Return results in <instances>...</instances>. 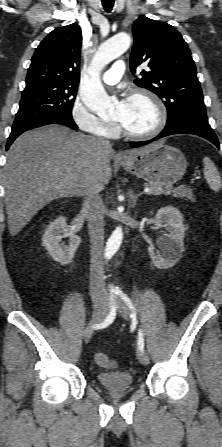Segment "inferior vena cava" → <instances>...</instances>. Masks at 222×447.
Instances as JSON below:
<instances>
[{
    "label": "inferior vena cava",
    "mask_w": 222,
    "mask_h": 447,
    "mask_svg": "<svg viewBox=\"0 0 222 447\" xmlns=\"http://www.w3.org/2000/svg\"><path fill=\"white\" fill-rule=\"evenodd\" d=\"M99 141L111 148L108 140L100 138ZM102 189L103 185L99 183L91 185L85 193V203L89 209L88 229L91 241L90 289L93 296H101L104 299L106 296L103 279L104 206L100 196Z\"/></svg>",
    "instance_id": "obj_1"
}]
</instances>
